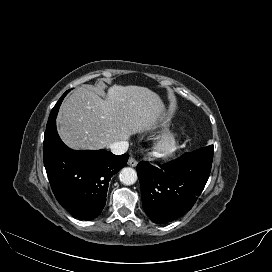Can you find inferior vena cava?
<instances>
[{"label":"inferior vena cava","mask_w":272,"mask_h":272,"mask_svg":"<svg viewBox=\"0 0 272 272\" xmlns=\"http://www.w3.org/2000/svg\"><path fill=\"white\" fill-rule=\"evenodd\" d=\"M129 147V143L127 141H117L110 144L109 148L112 153L116 155L124 154Z\"/></svg>","instance_id":"obj_1"}]
</instances>
